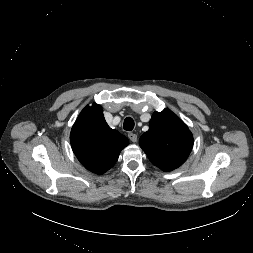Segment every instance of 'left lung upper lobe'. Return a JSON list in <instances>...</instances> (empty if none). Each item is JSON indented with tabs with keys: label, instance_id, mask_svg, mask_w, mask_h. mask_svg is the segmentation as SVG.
Segmentation results:
<instances>
[{
	"label": "left lung upper lobe",
	"instance_id": "left-lung-upper-lobe-1",
	"mask_svg": "<svg viewBox=\"0 0 253 253\" xmlns=\"http://www.w3.org/2000/svg\"><path fill=\"white\" fill-rule=\"evenodd\" d=\"M149 160L167 172L181 166L193 147V136L187 125L170 110L154 112L150 127L140 140Z\"/></svg>",
	"mask_w": 253,
	"mask_h": 253
}]
</instances>
